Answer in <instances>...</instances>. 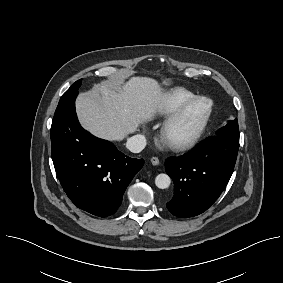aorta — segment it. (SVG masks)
I'll list each match as a JSON object with an SVG mask.
<instances>
[{
    "instance_id": "obj_1",
    "label": "aorta",
    "mask_w": 283,
    "mask_h": 283,
    "mask_svg": "<svg viewBox=\"0 0 283 283\" xmlns=\"http://www.w3.org/2000/svg\"><path fill=\"white\" fill-rule=\"evenodd\" d=\"M171 178L164 173L158 174L155 178V184L160 189H166L170 186Z\"/></svg>"
}]
</instances>
